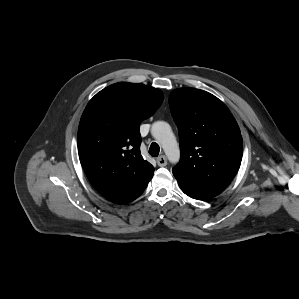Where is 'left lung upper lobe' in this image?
I'll use <instances>...</instances> for the list:
<instances>
[{
	"label": "left lung upper lobe",
	"instance_id": "obj_1",
	"mask_svg": "<svg viewBox=\"0 0 299 299\" xmlns=\"http://www.w3.org/2000/svg\"><path fill=\"white\" fill-rule=\"evenodd\" d=\"M169 104L181 150L173 175L184 193L211 199L226 189L240 167L239 126L225 104L203 90H173Z\"/></svg>",
	"mask_w": 299,
	"mask_h": 299
}]
</instances>
